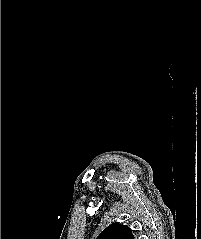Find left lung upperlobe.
Returning <instances> with one entry per match:
<instances>
[{"mask_svg": "<svg viewBox=\"0 0 201 239\" xmlns=\"http://www.w3.org/2000/svg\"><path fill=\"white\" fill-rule=\"evenodd\" d=\"M96 239H134V237L128 226L115 222L104 229Z\"/></svg>", "mask_w": 201, "mask_h": 239, "instance_id": "left-lung-upper-lobe-1", "label": "left lung upper lobe"}]
</instances>
